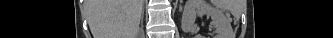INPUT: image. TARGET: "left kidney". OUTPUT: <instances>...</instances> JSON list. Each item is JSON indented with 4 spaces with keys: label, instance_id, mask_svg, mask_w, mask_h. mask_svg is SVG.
Here are the masks:
<instances>
[{
    "label": "left kidney",
    "instance_id": "left-kidney-1",
    "mask_svg": "<svg viewBox=\"0 0 333 38\" xmlns=\"http://www.w3.org/2000/svg\"><path fill=\"white\" fill-rule=\"evenodd\" d=\"M206 15L211 17L209 29L214 30L213 38H231L233 29L231 20L218 8L213 7L206 0H187L183 16H182V29L185 32H192L196 30L198 25L195 23L197 17ZM197 34L195 38H202Z\"/></svg>",
    "mask_w": 333,
    "mask_h": 38
}]
</instances>
